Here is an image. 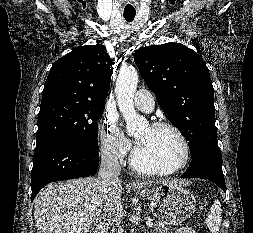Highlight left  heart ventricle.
Instances as JSON below:
<instances>
[{"mask_svg": "<svg viewBox=\"0 0 253 233\" xmlns=\"http://www.w3.org/2000/svg\"><path fill=\"white\" fill-rule=\"evenodd\" d=\"M137 158L141 165L154 170H168L180 163L183 150L177 136L165 129L149 126L135 135Z\"/></svg>", "mask_w": 253, "mask_h": 233, "instance_id": "left-heart-ventricle-1", "label": "left heart ventricle"}]
</instances>
